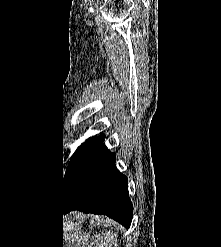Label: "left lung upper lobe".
Instances as JSON below:
<instances>
[{
    "label": "left lung upper lobe",
    "mask_w": 221,
    "mask_h": 247,
    "mask_svg": "<svg viewBox=\"0 0 221 247\" xmlns=\"http://www.w3.org/2000/svg\"><path fill=\"white\" fill-rule=\"evenodd\" d=\"M95 140H96V137L89 138L87 142L83 143L81 146L78 147V149L75 151V153L71 157V160L67 166L65 175L61 177L62 185L64 189L68 186L69 182L74 177L79 165L81 164V161L83 160L88 149L90 148V146Z\"/></svg>",
    "instance_id": "obj_1"
}]
</instances>
